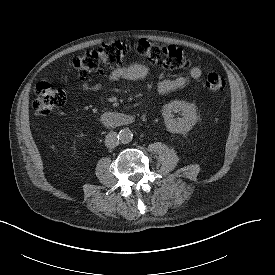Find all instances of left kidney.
Returning <instances> with one entry per match:
<instances>
[{"label": "left kidney", "mask_w": 275, "mask_h": 275, "mask_svg": "<svg viewBox=\"0 0 275 275\" xmlns=\"http://www.w3.org/2000/svg\"><path fill=\"white\" fill-rule=\"evenodd\" d=\"M164 121L168 131L185 134L197 122V113L194 104L175 100L163 106ZM181 112L182 118H174L173 113Z\"/></svg>", "instance_id": "5707ae66"}]
</instances>
